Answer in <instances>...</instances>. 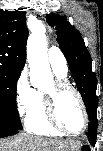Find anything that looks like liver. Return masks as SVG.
I'll return each instance as SVG.
<instances>
[{
	"instance_id": "obj_1",
	"label": "liver",
	"mask_w": 103,
	"mask_h": 151,
	"mask_svg": "<svg viewBox=\"0 0 103 151\" xmlns=\"http://www.w3.org/2000/svg\"><path fill=\"white\" fill-rule=\"evenodd\" d=\"M80 147L81 143L72 140H56L28 134H19L0 141V151H64Z\"/></svg>"
}]
</instances>
